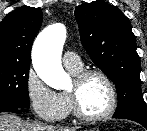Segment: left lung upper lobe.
Segmentation results:
<instances>
[{"label": "left lung upper lobe", "mask_w": 147, "mask_h": 131, "mask_svg": "<svg viewBox=\"0 0 147 131\" xmlns=\"http://www.w3.org/2000/svg\"><path fill=\"white\" fill-rule=\"evenodd\" d=\"M75 17L83 47L116 85L118 106L113 116L147 118L139 75L140 58L129 19L102 0L78 6Z\"/></svg>", "instance_id": "1"}]
</instances>
